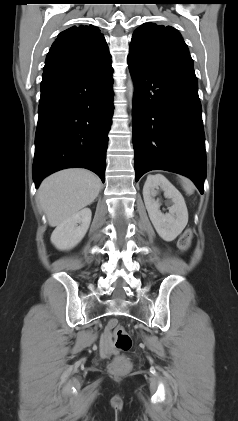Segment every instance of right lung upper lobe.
I'll use <instances>...</instances> for the list:
<instances>
[{
  "label": "right lung upper lobe",
  "instance_id": "1",
  "mask_svg": "<svg viewBox=\"0 0 238 421\" xmlns=\"http://www.w3.org/2000/svg\"><path fill=\"white\" fill-rule=\"evenodd\" d=\"M111 63L103 34L92 25L73 26L58 35L47 55L44 69Z\"/></svg>",
  "mask_w": 238,
  "mask_h": 421
}]
</instances>
